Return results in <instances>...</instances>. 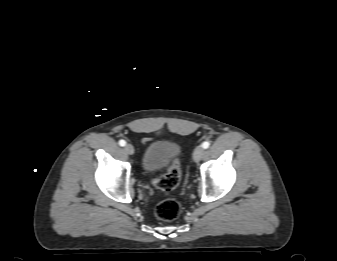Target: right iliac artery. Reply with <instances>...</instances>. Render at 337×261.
I'll return each mask as SVG.
<instances>
[{"label": "right iliac artery", "mask_w": 337, "mask_h": 261, "mask_svg": "<svg viewBox=\"0 0 337 261\" xmlns=\"http://www.w3.org/2000/svg\"><path fill=\"white\" fill-rule=\"evenodd\" d=\"M125 144H126V142H125L124 140H120V141H119V145H120V146H125Z\"/></svg>", "instance_id": "obj_1"}]
</instances>
